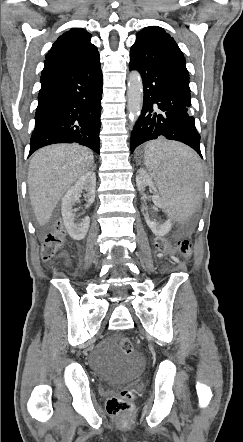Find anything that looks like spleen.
I'll return each mask as SVG.
<instances>
[{"mask_svg": "<svg viewBox=\"0 0 243 442\" xmlns=\"http://www.w3.org/2000/svg\"><path fill=\"white\" fill-rule=\"evenodd\" d=\"M143 169L160 190L163 214L170 219H190L196 214L200 185L198 156L188 147L163 140L151 141L145 147Z\"/></svg>", "mask_w": 243, "mask_h": 442, "instance_id": "spleen-1", "label": "spleen"}]
</instances>
